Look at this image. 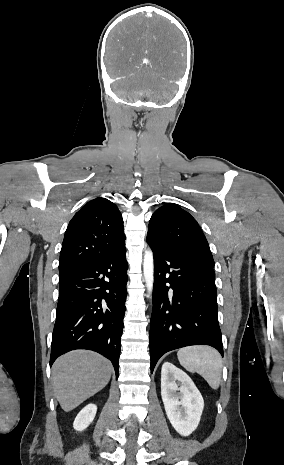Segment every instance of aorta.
Listing matches in <instances>:
<instances>
[{
	"label": "aorta",
	"instance_id": "1",
	"mask_svg": "<svg viewBox=\"0 0 284 465\" xmlns=\"http://www.w3.org/2000/svg\"><path fill=\"white\" fill-rule=\"evenodd\" d=\"M143 274L148 290V297H150L154 283V259L153 253L150 249L145 251L143 260Z\"/></svg>",
	"mask_w": 284,
	"mask_h": 465
}]
</instances>
